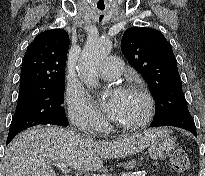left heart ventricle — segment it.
<instances>
[{"mask_svg":"<svg viewBox=\"0 0 205 176\" xmlns=\"http://www.w3.org/2000/svg\"><path fill=\"white\" fill-rule=\"evenodd\" d=\"M145 113L146 103L144 99L133 92L130 93L125 103L121 106L115 120L124 124H134L140 121Z\"/></svg>","mask_w":205,"mask_h":176,"instance_id":"b2bd125f","label":"left heart ventricle"}]
</instances>
